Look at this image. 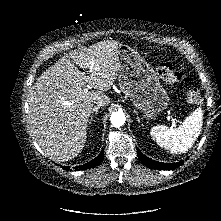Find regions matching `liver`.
I'll return each instance as SVG.
<instances>
[{
	"label": "liver",
	"mask_w": 221,
	"mask_h": 221,
	"mask_svg": "<svg viewBox=\"0 0 221 221\" xmlns=\"http://www.w3.org/2000/svg\"><path fill=\"white\" fill-rule=\"evenodd\" d=\"M119 44L106 40L73 50L32 86L28 98L31 132L54 161L71 160L82 151L94 99L111 88L119 71Z\"/></svg>",
	"instance_id": "liver-1"
}]
</instances>
